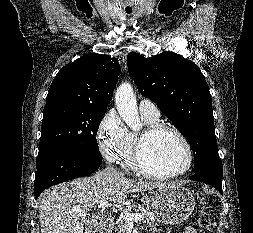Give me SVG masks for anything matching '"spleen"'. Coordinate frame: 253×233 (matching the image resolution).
<instances>
[{
	"mask_svg": "<svg viewBox=\"0 0 253 233\" xmlns=\"http://www.w3.org/2000/svg\"><path fill=\"white\" fill-rule=\"evenodd\" d=\"M213 226H216V223H215V222L213 223Z\"/></svg>",
	"mask_w": 253,
	"mask_h": 233,
	"instance_id": "spleen-1",
	"label": "spleen"
}]
</instances>
